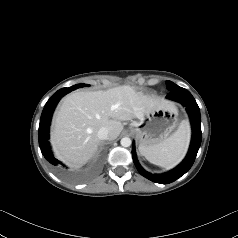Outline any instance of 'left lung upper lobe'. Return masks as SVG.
<instances>
[{
    "instance_id": "5c2ea615",
    "label": "left lung upper lobe",
    "mask_w": 238,
    "mask_h": 238,
    "mask_svg": "<svg viewBox=\"0 0 238 238\" xmlns=\"http://www.w3.org/2000/svg\"><path fill=\"white\" fill-rule=\"evenodd\" d=\"M179 86L176 85L175 83L171 82V81H166V88L171 91L174 90L176 88H178Z\"/></svg>"
}]
</instances>
